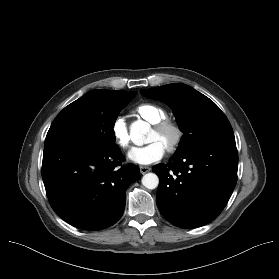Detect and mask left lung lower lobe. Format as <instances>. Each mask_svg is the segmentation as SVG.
Returning a JSON list of instances; mask_svg holds the SVG:
<instances>
[{
	"label": "left lung lower lobe",
	"instance_id": "0a47b994",
	"mask_svg": "<svg viewBox=\"0 0 279 279\" xmlns=\"http://www.w3.org/2000/svg\"><path fill=\"white\" fill-rule=\"evenodd\" d=\"M238 153L232 141L199 145L157 164L156 201L165 219L181 228L214 220L226 206L237 182Z\"/></svg>",
	"mask_w": 279,
	"mask_h": 279
}]
</instances>
